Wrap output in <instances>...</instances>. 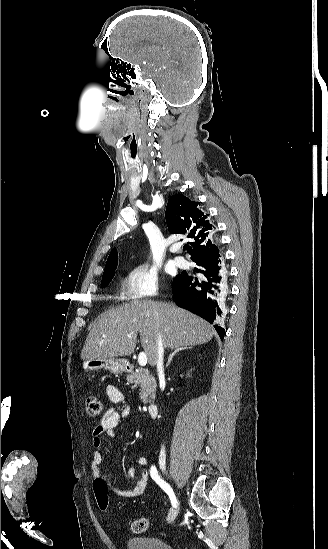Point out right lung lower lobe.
<instances>
[{
    "instance_id": "obj_1",
    "label": "right lung lower lobe",
    "mask_w": 328,
    "mask_h": 549,
    "mask_svg": "<svg viewBox=\"0 0 328 549\" xmlns=\"http://www.w3.org/2000/svg\"><path fill=\"white\" fill-rule=\"evenodd\" d=\"M197 275L182 273L174 279L172 292L176 303L194 314L214 324V328L223 339L225 330L221 324V309L218 299L225 287V266L220 254L200 258Z\"/></svg>"
}]
</instances>
